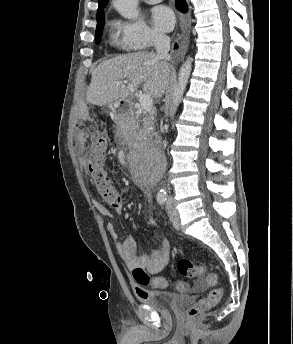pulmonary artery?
<instances>
[{
    "label": "pulmonary artery",
    "instance_id": "e3ab8cb5",
    "mask_svg": "<svg viewBox=\"0 0 293 344\" xmlns=\"http://www.w3.org/2000/svg\"><path fill=\"white\" fill-rule=\"evenodd\" d=\"M144 1L148 4H156V3L161 2L162 0H144Z\"/></svg>",
    "mask_w": 293,
    "mask_h": 344
}]
</instances>
